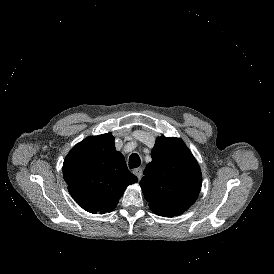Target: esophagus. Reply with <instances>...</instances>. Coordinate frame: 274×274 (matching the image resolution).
Wrapping results in <instances>:
<instances>
[{"label":"esophagus","instance_id":"obj_1","mask_svg":"<svg viewBox=\"0 0 274 274\" xmlns=\"http://www.w3.org/2000/svg\"><path fill=\"white\" fill-rule=\"evenodd\" d=\"M133 173L138 177V179H141L143 170L142 168H135L133 169Z\"/></svg>","mask_w":274,"mask_h":274}]
</instances>
